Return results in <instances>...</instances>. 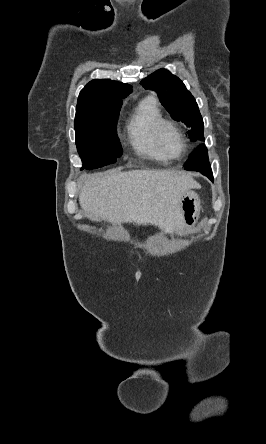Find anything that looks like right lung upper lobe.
Returning a JSON list of instances; mask_svg holds the SVG:
<instances>
[{
  "instance_id": "obj_1",
  "label": "right lung upper lobe",
  "mask_w": 266,
  "mask_h": 444,
  "mask_svg": "<svg viewBox=\"0 0 266 444\" xmlns=\"http://www.w3.org/2000/svg\"><path fill=\"white\" fill-rule=\"evenodd\" d=\"M132 87L112 80H92L80 92L76 109L85 108L104 101H122Z\"/></svg>"
}]
</instances>
